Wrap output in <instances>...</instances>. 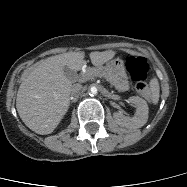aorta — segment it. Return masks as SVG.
I'll return each mask as SVG.
<instances>
[{"mask_svg":"<svg viewBox=\"0 0 187 187\" xmlns=\"http://www.w3.org/2000/svg\"><path fill=\"white\" fill-rule=\"evenodd\" d=\"M90 91H91L92 94H96L97 93V88L95 86H92L90 88Z\"/></svg>","mask_w":187,"mask_h":187,"instance_id":"obj_1","label":"aorta"}]
</instances>
